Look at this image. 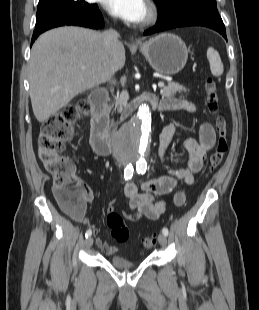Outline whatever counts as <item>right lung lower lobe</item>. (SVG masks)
<instances>
[{"mask_svg": "<svg viewBox=\"0 0 259 310\" xmlns=\"http://www.w3.org/2000/svg\"><path fill=\"white\" fill-rule=\"evenodd\" d=\"M64 25H77L89 28H102L104 26L103 17L98 6L90 12L78 16H55L35 26L31 44L41 33L51 28Z\"/></svg>", "mask_w": 259, "mask_h": 310, "instance_id": "right-lung-lower-lobe-1", "label": "right lung lower lobe"}]
</instances>
